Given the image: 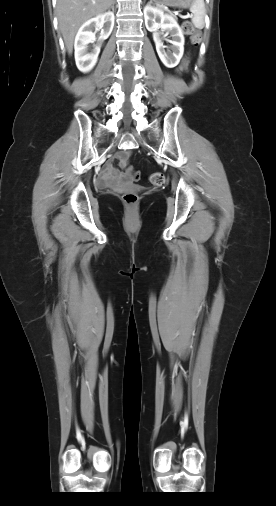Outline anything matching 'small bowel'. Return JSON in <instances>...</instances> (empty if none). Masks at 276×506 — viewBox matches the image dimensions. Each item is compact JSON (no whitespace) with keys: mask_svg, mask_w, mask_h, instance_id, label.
<instances>
[{"mask_svg":"<svg viewBox=\"0 0 276 506\" xmlns=\"http://www.w3.org/2000/svg\"><path fill=\"white\" fill-rule=\"evenodd\" d=\"M186 66L187 60L185 59L180 69H184ZM129 154V151H122L117 154L120 167L124 168L127 165ZM124 180H126V175L124 173H119L112 163H107L104 171L97 180V185L100 188L116 187Z\"/></svg>","mask_w":276,"mask_h":506,"instance_id":"obj_1","label":"small bowel"}]
</instances>
